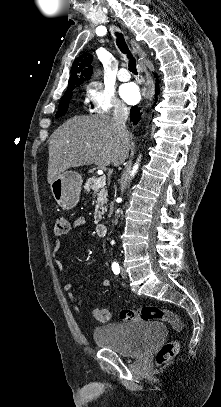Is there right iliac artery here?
I'll use <instances>...</instances> for the list:
<instances>
[{
	"mask_svg": "<svg viewBox=\"0 0 221 407\" xmlns=\"http://www.w3.org/2000/svg\"><path fill=\"white\" fill-rule=\"evenodd\" d=\"M112 271L114 274L118 275L120 273V267L118 264H112Z\"/></svg>",
	"mask_w": 221,
	"mask_h": 407,
	"instance_id": "82829eb1",
	"label": "right iliac artery"
}]
</instances>
